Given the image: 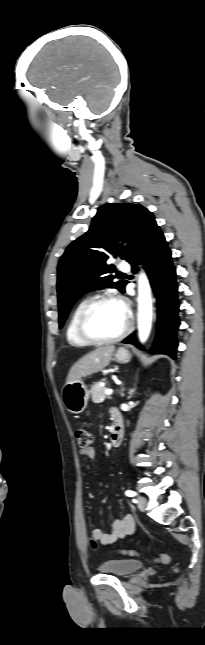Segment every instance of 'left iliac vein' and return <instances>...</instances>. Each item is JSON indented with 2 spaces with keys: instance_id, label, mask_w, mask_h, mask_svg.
<instances>
[{
  "instance_id": "4c4485c4",
  "label": "left iliac vein",
  "mask_w": 205,
  "mask_h": 645,
  "mask_svg": "<svg viewBox=\"0 0 205 645\" xmlns=\"http://www.w3.org/2000/svg\"><path fill=\"white\" fill-rule=\"evenodd\" d=\"M137 506L140 511H145L147 507V500L142 496L137 497Z\"/></svg>"
}]
</instances>
